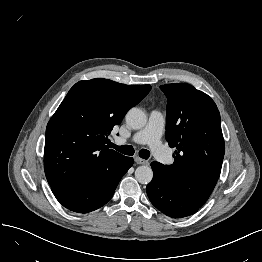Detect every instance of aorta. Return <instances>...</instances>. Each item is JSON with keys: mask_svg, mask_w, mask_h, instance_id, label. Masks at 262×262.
<instances>
[{"mask_svg": "<svg viewBox=\"0 0 262 262\" xmlns=\"http://www.w3.org/2000/svg\"><path fill=\"white\" fill-rule=\"evenodd\" d=\"M126 123L132 129H141L147 123V116L141 109L133 107L126 114ZM135 178L141 184H149L153 179L151 167L139 166L135 171Z\"/></svg>", "mask_w": 262, "mask_h": 262, "instance_id": "obj_1", "label": "aorta"}]
</instances>
